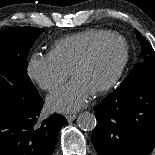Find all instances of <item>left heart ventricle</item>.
<instances>
[{
	"label": "left heart ventricle",
	"instance_id": "obj_1",
	"mask_svg": "<svg viewBox=\"0 0 155 155\" xmlns=\"http://www.w3.org/2000/svg\"><path fill=\"white\" fill-rule=\"evenodd\" d=\"M123 57V43L116 39L110 40L98 50L92 61L81 69L74 79L95 93L113 78Z\"/></svg>",
	"mask_w": 155,
	"mask_h": 155
}]
</instances>
